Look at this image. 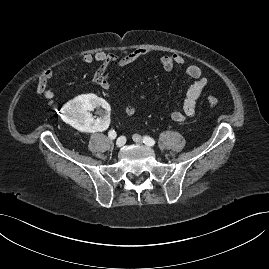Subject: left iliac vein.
Wrapping results in <instances>:
<instances>
[{"label":"left iliac vein","instance_id":"left-iliac-vein-1","mask_svg":"<svg viewBox=\"0 0 269 269\" xmlns=\"http://www.w3.org/2000/svg\"><path fill=\"white\" fill-rule=\"evenodd\" d=\"M133 140H134L136 143H139V144L142 143V138H141V136H139L138 134H134V135H133Z\"/></svg>","mask_w":269,"mask_h":269}]
</instances>
